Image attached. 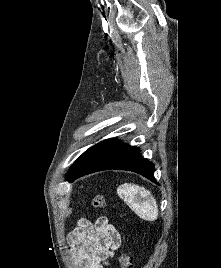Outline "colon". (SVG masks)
I'll return each instance as SVG.
<instances>
[{"label":"colon","instance_id":"colon-1","mask_svg":"<svg viewBox=\"0 0 221 268\" xmlns=\"http://www.w3.org/2000/svg\"><path fill=\"white\" fill-rule=\"evenodd\" d=\"M92 206L96 209H103L107 207V202L104 196L96 195L92 199ZM120 268H132V259L128 251L121 254L119 258Z\"/></svg>","mask_w":221,"mask_h":268}]
</instances>
